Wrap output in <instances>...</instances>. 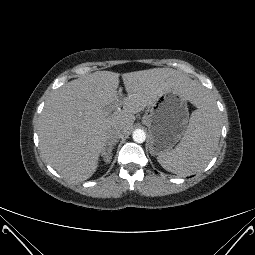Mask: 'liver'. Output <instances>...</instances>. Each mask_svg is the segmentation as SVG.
Wrapping results in <instances>:
<instances>
[{
  "label": "liver",
  "instance_id": "1",
  "mask_svg": "<svg viewBox=\"0 0 255 255\" xmlns=\"http://www.w3.org/2000/svg\"><path fill=\"white\" fill-rule=\"evenodd\" d=\"M120 74L97 71L54 91L39 120V141L46 161L64 178L82 182L98 167L107 133L119 128L128 134L135 114L154 103L165 90L177 88L198 105L204 88L171 68H153L122 75L124 97L117 91ZM123 106L113 113L107 107Z\"/></svg>",
  "mask_w": 255,
  "mask_h": 255
}]
</instances>
